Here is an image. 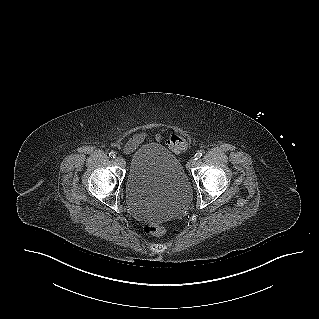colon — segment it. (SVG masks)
I'll use <instances>...</instances> for the list:
<instances>
[{
  "label": "colon",
  "mask_w": 319,
  "mask_h": 319,
  "mask_svg": "<svg viewBox=\"0 0 319 319\" xmlns=\"http://www.w3.org/2000/svg\"><path fill=\"white\" fill-rule=\"evenodd\" d=\"M188 144V140L179 135H173L168 141L169 148L174 152L183 151ZM143 230L148 235L161 236L166 232V227L163 224H145Z\"/></svg>",
  "instance_id": "1"
}]
</instances>
